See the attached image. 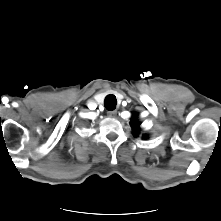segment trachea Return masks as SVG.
<instances>
[{"label":"trachea","mask_w":221,"mask_h":221,"mask_svg":"<svg viewBox=\"0 0 221 221\" xmlns=\"http://www.w3.org/2000/svg\"><path fill=\"white\" fill-rule=\"evenodd\" d=\"M117 100L114 95L106 96L104 100V106L107 110L112 111L116 108Z\"/></svg>","instance_id":"obj_1"}]
</instances>
